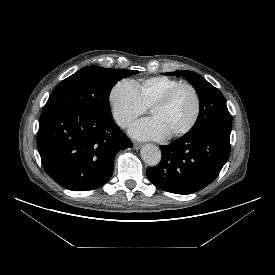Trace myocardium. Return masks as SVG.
I'll return each instance as SVG.
<instances>
[{
	"instance_id": "1",
	"label": "myocardium",
	"mask_w": 275,
	"mask_h": 275,
	"mask_svg": "<svg viewBox=\"0 0 275 275\" xmlns=\"http://www.w3.org/2000/svg\"><path fill=\"white\" fill-rule=\"evenodd\" d=\"M181 88H188L192 91L194 97H195V102H196V107H195V113L191 119V121L181 130L174 132L170 135H168V138L170 139H175L184 136L188 132H190L195 125L197 124L199 117L201 115V109H202V103H201V98L199 95V92L197 89L190 83H180L171 89H169L158 101H156L150 108V111L154 109H159V108H164L166 107L174 97V95L181 89Z\"/></svg>"
}]
</instances>
